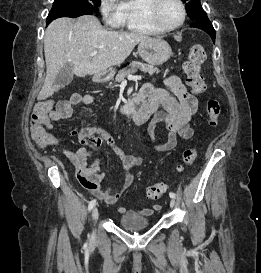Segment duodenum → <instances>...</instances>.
<instances>
[{
  "instance_id": "duodenum-1",
  "label": "duodenum",
  "mask_w": 261,
  "mask_h": 273,
  "mask_svg": "<svg viewBox=\"0 0 261 273\" xmlns=\"http://www.w3.org/2000/svg\"><path fill=\"white\" fill-rule=\"evenodd\" d=\"M104 81H106L104 76H99L95 79L96 83H102ZM119 110L121 113L128 114L134 124L141 125L148 120L150 114L153 112V106L148 97L139 94L131 101L122 104Z\"/></svg>"
}]
</instances>
